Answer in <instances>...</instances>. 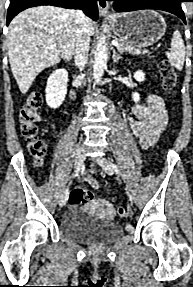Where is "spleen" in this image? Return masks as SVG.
Listing matches in <instances>:
<instances>
[{"label":"spleen","instance_id":"spleen-1","mask_svg":"<svg viewBox=\"0 0 193 287\" xmlns=\"http://www.w3.org/2000/svg\"><path fill=\"white\" fill-rule=\"evenodd\" d=\"M171 65L176 69L181 70L185 61V45L179 31H174L171 39L170 52H166Z\"/></svg>","mask_w":193,"mask_h":287}]
</instances>
